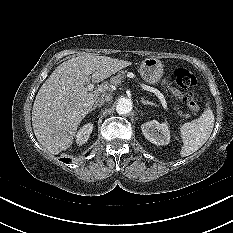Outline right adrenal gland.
<instances>
[{
    "mask_svg": "<svg viewBox=\"0 0 233 233\" xmlns=\"http://www.w3.org/2000/svg\"><path fill=\"white\" fill-rule=\"evenodd\" d=\"M102 105H94L93 107H91V109L89 110V113H91L93 110H95L97 107L101 108Z\"/></svg>",
    "mask_w": 233,
    "mask_h": 233,
    "instance_id": "1",
    "label": "right adrenal gland"
}]
</instances>
